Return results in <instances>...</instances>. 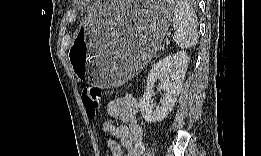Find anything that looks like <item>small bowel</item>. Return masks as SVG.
Listing matches in <instances>:
<instances>
[{
	"mask_svg": "<svg viewBox=\"0 0 261 156\" xmlns=\"http://www.w3.org/2000/svg\"><path fill=\"white\" fill-rule=\"evenodd\" d=\"M139 104L133 94L127 93L111 100L107 113L124 125H115L110 121L102 124V133L106 145L113 156H141L144 154L143 130L137 119Z\"/></svg>",
	"mask_w": 261,
	"mask_h": 156,
	"instance_id": "c3829d8e",
	"label": "small bowel"
}]
</instances>
